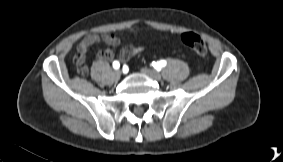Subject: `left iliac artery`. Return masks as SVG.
<instances>
[{
  "mask_svg": "<svg viewBox=\"0 0 283 162\" xmlns=\"http://www.w3.org/2000/svg\"><path fill=\"white\" fill-rule=\"evenodd\" d=\"M152 66H153L155 69L159 70L161 67L166 66V61H165V60H161V61H159V62H153V63H152Z\"/></svg>",
  "mask_w": 283,
  "mask_h": 162,
  "instance_id": "left-iliac-artery-1",
  "label": "left iliac artery"
}]
</instances>
